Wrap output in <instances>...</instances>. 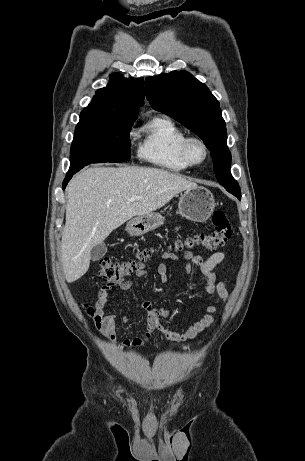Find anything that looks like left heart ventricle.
<instances>
[{"mask_svg": "<svg viewBox=\"0 0 305 461\" xmlns=\"http://www.w3.org/2000/svg\"><path fill=\"white\" fill-rule=\"evenodd\" d=\"M192 156L195 160H201L203 157V149L197 145L194 144L191 148Z\"/></svg>", "mask_w": 305, "mask_h": 461, "instance_id": "left-heart-ventricle-1", "label": "left heart ventricle"}]
</instances>
